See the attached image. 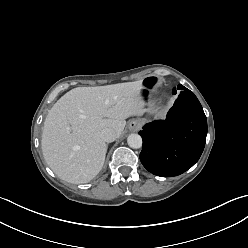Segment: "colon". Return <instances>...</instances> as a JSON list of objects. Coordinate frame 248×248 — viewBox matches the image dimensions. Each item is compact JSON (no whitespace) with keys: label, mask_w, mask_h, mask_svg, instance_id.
Masks as SVG:
<instances>
[{"label":"colon","mask_w":248,"mask_h":248,"mask_svg":"<svg viewBox=\"0 0 248 248\" xmlns=\"http://www.w3.org/2000/svg\"><path fill=\"white\" fill-rule=\"evenodd\" d=\"M160 80L157 76L152 75L144 79L137 88V95L139 97L138 107L141 111L146 112L151 107L152 93L151 89L157 87Z\"/></svg>","instance_id":"1"}]
</instances>
